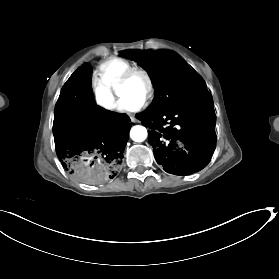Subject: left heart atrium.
Here are the masks:
<instances>
[{
    "label": "left heart atrium",
    "mask_w": 279,
    "mask_h": 279,
    "mask_svg": "<svg viewBox=\"0 0 279 279\" xmlns=\"http://www.w3.org/2000/svg\"><path fill=\"white\" fill-rule=\"evenodd\" d=\"M144 105L143 100H129L126 98H122L119 103V110L122 112H136L140 110Z\"/></svg>",
    "instance_id": "1"
}]
</instances>
